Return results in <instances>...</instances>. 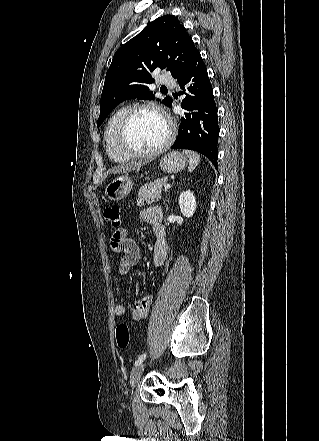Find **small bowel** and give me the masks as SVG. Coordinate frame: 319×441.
Here are the masks:
<instances>
[{
	"instance_id": "small-bowel-1",
	"label": "small bowel",
	"mask_w": 319,
	"mask_h": 441,
	"mask_svg": "<svg viewBox=\"0 0 319 441\" xmlns=\"http://www.w3.org/2000/svg\"><path fill=\"white\" fill-rule=\"evenodd\" d=\"M140 215L142 220L151 225L156 237L153 249V263L156 266H162L167 259L168 253L166 232L162 224L163 211L159 206H152L142 210ZM112 247L121 255L119 274L125 275L139 262L140 251L138 245L125 232H119L118 235L113 236ZM135 292L136 294L138 293V287L135 288ZM152 301V295L138 297L135 300L131 314L133 320L140 321L145 319L148 316ZM125 312L126 309L124 305L116 304L114 306V313L116 316H123Z\"/></svg>"
}]
</instances>
